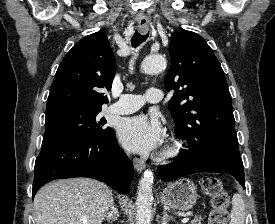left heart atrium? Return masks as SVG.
I'll list each match as a JSON object with an SVG mask.
<instances>
[{"label":"left heart atrium","instance_id":"39dd6f15","mask_svg":"<svg viewBox=\"0 0 275 224\" xmlns=\"http://www.w3.org/2000/svg\"><path fill=\"white\" fill-rule=\"evenodd\" d=\"M122 145L133 152L145 153L157 147L161 140L159 124L144 115L123 119L118 126Z\"/></svg>","mask_w":275,"mask_h":224}]
</instances>
